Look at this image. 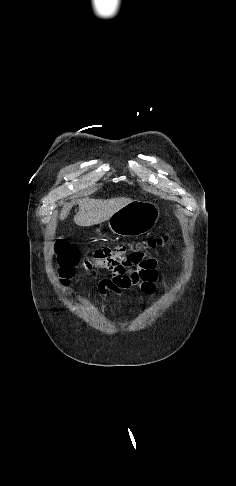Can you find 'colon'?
<instances>
[{
  "instance_id": "5ec220e1",
  "label": "colon",
  "mask_w": 236,
  "mask_h": 486,
  "mask_svg": "<svg viewBox=\"0 0 236 486\" xmlns=\"http://www.w3.org/2000/svg\"><path fill=\"white\" fill-rule=\"evenodd\" d=\"M162 243V239H149L143 245L146 248H155ZM57 265L61 281L64 284L69 282L73 276L75 266L79 262L78 249L65 242H58L56 245ZM143 256L142 252L131 245H120L115 247H104L97 249L94 254L84 261V267L89 272L97 269L116 270L123 263L135 260Z\"/></svg>"
}]
</instances>
